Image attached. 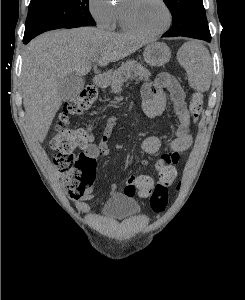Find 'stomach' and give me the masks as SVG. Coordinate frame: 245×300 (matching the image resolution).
Listing matches in <instances>:
<instances>
[{
  "mask_svg": "<svg viewBox=\"0 0 245 300\" xmlns=\"http://www.w3.org/2000/svg\"><path fill=\"white\" fill-rule=\"evenodd\" d=\"M144 61L152 67H158L165 65L171 57V51L169 47L162 42H154L144 50Z\"/></svg>",
  "mask_w": 245,
  "mask_h": 300,
  "instance_id": "obj_1",
  "label": "stomach"
}]
</instances>
